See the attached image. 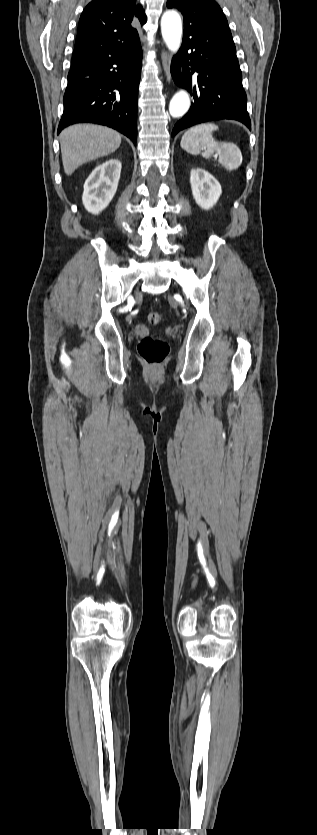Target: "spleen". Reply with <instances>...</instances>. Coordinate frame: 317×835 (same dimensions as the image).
<instances>
[{"label":"spleen","instance_id":"3e777b00","mask_svg":"<svg viewBox=\"0 0 317 835\" xmlns=\"http://www.w3.org/2000/svg\"><path fill=\"white\" fill-rule=\"evenodd\" d=\"M218 130L214 123H202L188 129L182 136L180 145L186 152L204 158L218 155V163L227 171L236 170L242 163V154L232 142L215 140L213 132Z\"/></svg>","mask_w":317,"mask_h":835}]
</instances>
